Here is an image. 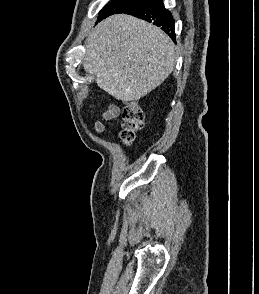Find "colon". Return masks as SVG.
Masks as SVG:
<instances>
[{"label":"colon","mask_w":259,"mask_h":294,"mask_svg":"<svg viewBox=\"0 0 259 294\" xmlns=\"http://www.w3.org/2000/svg\"><path fill=\"white\" fill-rule=\"evenodd\" d=\"M144 113L136 101L124 104L122 110L121 137L125 142H132L143 128Z\"/></svg>","instance_id":"5ec220e1"}]
</instances>
